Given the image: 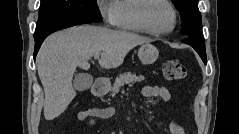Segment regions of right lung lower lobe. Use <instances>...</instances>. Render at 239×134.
<instances>
[{
    "instance_id": "98d812e1",
    "label": "right lung lower lobe",
    "mask_w": 239,
    "mask_h": 134,
    "mask_svg": "<svg viewBox=\"0 0 239 134\" xmlns=\"http://www.w3.org/2000/svg\"><path fill=\"white\" fill-rule=\"evenodd\" d=\"M91 21H87V20H81V19H76V20H69V21H64L58 24H55L53 26H51L50 28H48L46 31H44L43 33H41L38 36H34L35 38V50H34V59L37 55V52L42 44V42L44 41V39L50 35L51 33L61 30V29H65V28H69L78 24H87L90 23Z\"/></svg>"
}]
</instances>
